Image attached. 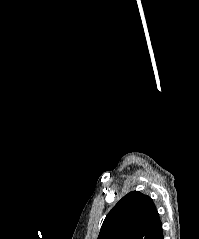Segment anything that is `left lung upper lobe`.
<instances>
[{"mask_svg":"<svg viewBox=\"0 0 199 239\" xmlns=\"http://www.w3.org/2000/svg\"><path fill=\"white\" fill-rule=\"evenodd\" d=\"M160 224L152 199L132 191L108 213L97 239H153Z\"/></svg>","mask_w":199,"mask_h":239,"instance_id":"left-lung-upper-lobe-1","label":"left lung upper lobe"}]
</instances>
